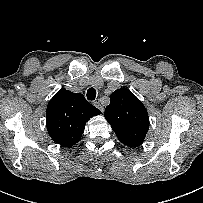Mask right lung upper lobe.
Returning <instances> with one entry per match:
<instances>
[{"label":"right lung upper lobe","instance_id":"obj_1","mask_svg":"<svg viewBox=\"0 0 203 203\" xmlns=\"http://www.w3.org/2000/svg\"><path fill=\"white\" fill-rule=\"evenodd\" d=\"M101 111L79 93L59 90L46 110L47 131L54 142L70 147L79 142L85 123Z\"/></svg>","mask_w":203,"mask_h":203}]
</instances>
